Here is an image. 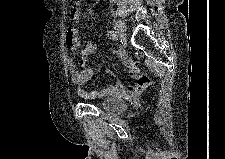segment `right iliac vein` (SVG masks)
<instances>
[{
	"mask_svg": "<svg viewBox=\"0 0 225 159\" xmlns=\"http://www.w3.org/2000/svg\"><path fill=\"white\" fill-rule=\"evenodd\" d=\"M111 19H112L114 26L117 28V32H118L119 36L124 37L125 32H126L125 23L123 21H121L119 18H117L116 16H111Z\"/></svg>",
	"mask_w": 225,
	"mask_h": 159,
	"instance_id": "obj_1",
	"label": "right iliac vein"
}]
</instances>
